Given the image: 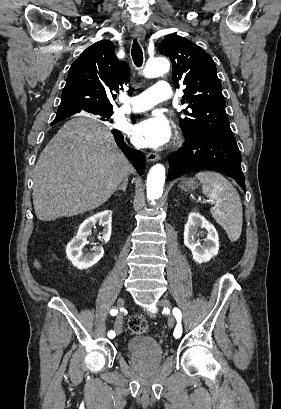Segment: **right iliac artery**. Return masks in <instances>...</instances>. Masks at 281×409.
<instances>
[{"label": "right iliac artery", "instance_id": "82829eb1", "mask_svg": "<svg viewBox=\"0 0 281 409\" xmlns=\"http://www.w3.org/2000/svg\"><path fill=\"white\" fill-rule=\"evenodd\" d=\"M110 313H111V315H116L117 313H118V310L117 309H112L111 311H110ZM108 337H110V338H114L115 337V332L114 331H109L108 332Z\"/></svg>", "mask_w": 281, "mask_h": 409}]
</instances>
